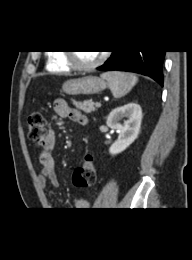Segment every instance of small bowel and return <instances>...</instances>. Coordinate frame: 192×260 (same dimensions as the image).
Segmentation results:
<instances>
[{"mask_svg":"<svg viewBox=\"0 0 192 260\" xmlns=\"http://www.w3.org/2000/svg\"><path fill=\"white\" fill-rule=\"evenodd\" d=\"M53 107L56 114L61 118H69L70 120L85 125L87 123V118L80 111L71 108L65 100L55 99L53 102ZM55 144V134L52 130L47 132L46 143L43 147V151L40 153L39 161L41 164V169L39 172L38 181L42 188H45L47 183L53 187L59 186L58 177L55 171V160L51 154ZM91 201L85 199H76L74 201V208L76 210H86L90 208Z\"/></svg>","mask_w":192,"mask_h":260,"instance_id":"obj_1","label":"small bowel"}]
</instances>
